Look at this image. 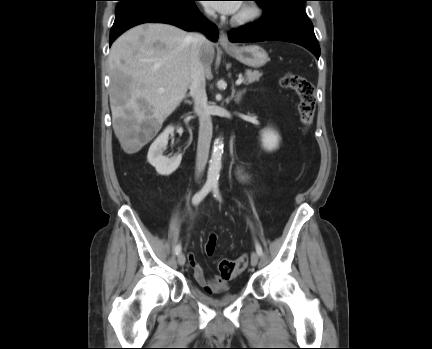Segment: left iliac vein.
I'll use <instances>...</instances> for the list:
<instances>
[{"label":"left iliac vein","mask_w":432,"mask_h":349,"mask_svg":"<svg viewBox=\"0 0 432 349\" xmlns=\"http://www.w3.org/2000/svg\"><path fill=\"white\" fill-rule=\"evenodd\" d=\"M258 261H259V256H258V254L255 253V252H253V253L251 254V265H252V266H256V265L258 264Z\"/></svg>","instance_id":"1"}]
</instances>
